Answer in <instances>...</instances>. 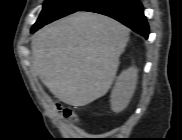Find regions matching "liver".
I'll return each instance as SVG.
<instances>
[{
    "label": "liver",
    "mask_w": 182,
    "mask_h": 140,
    "mask_svg": "<svg viewBox=\"0 0 182 140\" xmlns=\"http://www.w3.org/2000/svg\"><path fill=\"white\" fill-rule=\"evenodd\" d=\"M129 29L107 16L76 12L32 38V68L50 92L68 105L103 97L118 69Z\"/></svg>",
    "instance_id": "liver-1"
}]
</instances>
